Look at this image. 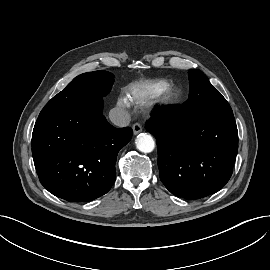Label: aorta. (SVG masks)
Returning a JSON list of instances; mask_svg holds the SVG:
<instances>
[{"label":"aorta","instance_id":"aorta-1","mask_svg":"<svg viewBox=\"0 0 270 270\" xmlns=\"http://www.w3.org/2000/svg\"><path fill=\"white\" fill-rule=\"evenodd\" d=\"M136 147L143 153H150L155 147L154 139L147 133H141L137 136Z\"/></svg>","mask_w":270,"mask_h":270}]
</instances>
